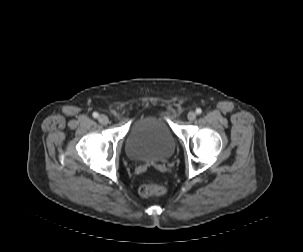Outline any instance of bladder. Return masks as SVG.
Listing matches in <instances>:
<instances>
[{"instance_id":"obj_1","label":"bladder","mask_w":303,"mask_h":252,"mask_svg":"<svg viewBox=\"0 0 303 252\" xmlns=\"http://www.w3.org/2000/svg\"><path fill=\"white\" fill-rule=\"evenodd\" d=\"M124 148L131 160L162 162L175 153L176 140L161 118L150 115L133 124L126 135Z\"/></svg>"}]
</instances>
